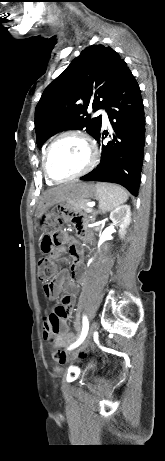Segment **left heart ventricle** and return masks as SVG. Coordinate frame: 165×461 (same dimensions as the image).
Segmentation results:
<instances>
[{
    "mask_svg": "<svg viewBox=\"0 0 165 461\" xmlns=\"http://www.w3.org/2000/svg\"><path fill=\"white\" fill-rule=\"evenodd\" d=\"M88 161V151L84 143L75 137H67L52 148L47 167L54 178H64L80 171Z\"/></svg>",
    "mask_w": 165,
    "mask_h": 461,
    "instance_id": "b2bd125f",
    "label": "left heart ventricle"
}]
</instances>
